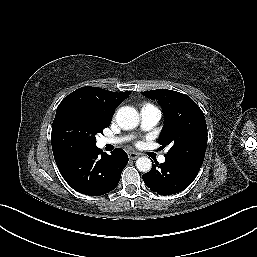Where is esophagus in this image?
Instances as JSON below:
<instances>
[{"label": "esophagus", "instance_id": "34e87169", "mask_svg": "<svg viewBox=\"0 0 257 257\" xmlns=\"http://www.w3.org/2000/svg\"><path fill=\"white\" fill-rule=\"evenodd\" d=\"M139 156H140V154H139V153H136V152H130V153H128V157H129V159H131V160H135V159H137Z\"/></svg>", "mask_w": 257, "mask_h": 257}]
</instances>
